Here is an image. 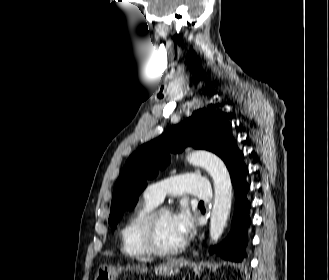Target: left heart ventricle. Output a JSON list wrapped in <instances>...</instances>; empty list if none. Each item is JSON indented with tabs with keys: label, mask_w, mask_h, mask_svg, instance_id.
Listing matches in <instances>:
<instances>
[{
	"label": "left heart ventricle",
	"mask_w": 329,
	"mask_h": 280,
	"mask_svg": "<svg viewBox=\"0 0 329 280\" xmlns=\"http://www.w3.org/2000/svg\"><path fill=\"white\" fill-rule=\"evenodd\" d=\"M157 243L166 248L177 246L183 240L180 237L171 213H162L156 222Z\"/></svg>",
	"instance_id": "left-heart-ventricle-1"
}]
</instances>
